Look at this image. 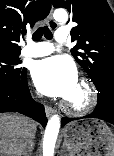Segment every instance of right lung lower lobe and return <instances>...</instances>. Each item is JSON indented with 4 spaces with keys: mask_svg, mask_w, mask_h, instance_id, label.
I'll list each match as a JSON object with an SVG mask.
<instances>
[{
    "mask_svg": "<svg viewBox=\"0 0 114 156\" xmlns=\"http://www.w3.org/2000/svg\"><path fill=\"white\" fill-rule=\"evenodd\" d=\"M19 112L46 126L47 117L42 104L35 102L29 92L27 75L13 86H0V113Z\"/></svg>",
    "mask_w": 114,
    "mask_h": 156,
    "instance_id": "1",
    "label": "right lung lower lobe"
}]
</instances>
